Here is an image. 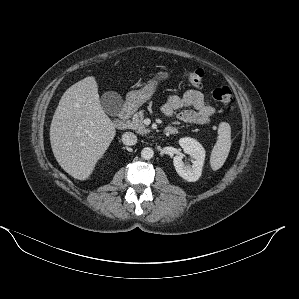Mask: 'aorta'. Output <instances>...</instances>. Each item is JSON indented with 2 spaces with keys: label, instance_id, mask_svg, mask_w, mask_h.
I'll return each mask as SVG.
<instances>
[{
  "label": "aorta",
  "instance_id": "1",
  "mask_svg": "<svg viewBox=\"0 0 299 299\" xmlns=\"http://www.w3.org/2000/svg\"><path fill=\"white\" fill-rule=\"evenodd\" d=\"M154 156V151L150 147H145L141 151V157L145 160H150Z\"/></svg>",
  "mask_w": 299,
  "mask_h": 299
}]
</instances>
